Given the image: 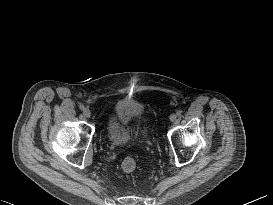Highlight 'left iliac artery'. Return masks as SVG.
<instances>
[{
	"instance_id": "obj_1",
	"label": "left iliac artery",
	"mask_w": 273,
	"mask_h": 205,
	"mask_svg": "<svg viewBox=\"0 0 273 205\" xmlns=\"http://www.w3.org/2000/svg\"><path fill=\"white\" fill-rule=\"evenodd\" d=\"M176 114H177V116H181L182 111H180V110H179V111H177V113H176Z\"/></svg>"
}]
</instances>
